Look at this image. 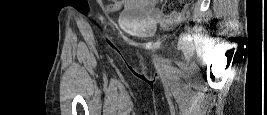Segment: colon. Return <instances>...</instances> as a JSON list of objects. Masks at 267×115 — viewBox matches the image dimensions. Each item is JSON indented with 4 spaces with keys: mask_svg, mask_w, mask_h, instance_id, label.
<instances>
[{
    "mask_svg": "<svg viewBox=\"0 0 267 115\" xmlns=\"http://www.w3.org/2000/svg\"><path fill=\"white\" fill-rule=\"evenodd\" d=\"M191 0H166L162 6V14L166 17H170L180 11H182ZM118 7V1H113L109 6L110 10H115Z\"/></svg>",
    "mask_w": 267,
    "mask_h": 115,
    "instance_id": "1",
    "label": "colon"
}]
</instances>
